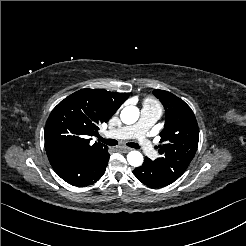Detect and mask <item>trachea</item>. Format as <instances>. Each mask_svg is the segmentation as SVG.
Segmentation results:
<instances>
[{
  "label": "trachea",
  "mask_w": 246,
  "mask_h": 246,
  "mask_svg": "<svg viewBox=\"0 0 246 246\" xmlns=\"http://www.w3.org/2000/svg\"><path fill=\"white\" fill-rule=\"evenodd\" d=\"M99 141H101L102 143H104L106 145H110V146H115L118 144V142L114 139H104L102 137H99ZM127 145L132 147V148H136V149L140 148V146L136 143H128Z\"/></svg>",
  "instance_id": "obj_1"
}]
</instances>
